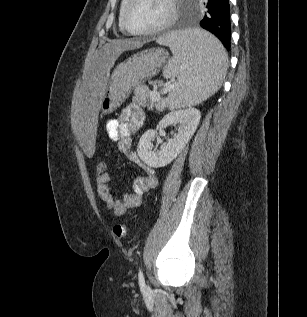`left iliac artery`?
<instances>
[{
  "label": "left iliac artery",
  "mask_w": 307,
  "mask_h": 317,
  "mask_svg": "<svg viewBox=\"0 0 307 317\" xmlns=\"http://www.w3.org/2000/svg\"><path fill=\"white\" fill-rule=\"evenodd\" d=\"M138 280L141 287H145L144 275L141 269H139Z\"/></svg>",
  "instance_id": "1"
}]
</instances>
